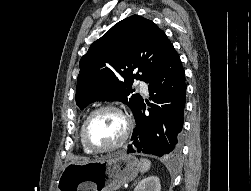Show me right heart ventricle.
I'll return each mask as SVG.
<instances>
[{"label":"right heart ventricle","instance_id":"right-heart-ventricle-1","mask_svg":"<svg viewBox=\"0 0 251 191\" xmlns=\"http://www.w3.org/2000/svg\"><path fill=\"white\" fill-rule=\"evenodd\" d=\"M80 147H81V145H80ZM82 149V148H81ZM82 151L84 152V153H86L83 149H82ZM87 154V153H86Z\"/></svg>","mask_w":251,"mask_h":191}]
</instances>
